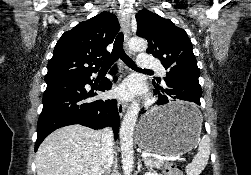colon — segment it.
I'll return each mask as SVG.
<instances>
[{
	"mask_svg": "<svg viewBox=\"0 0 251 175\" xmlns=\"http://www.w3.org/2000/svg\"><path fill=\"white\" fill-rule=\"evenodd\" d=\"M163 175H183L182 168L177 164L166 165L163 168Z\"/></svg>",
	"mask_w": 251,
	"mask_h": 175,
	"instance_id": "colon-1",
	"label": "colon"
}]
</instances>
